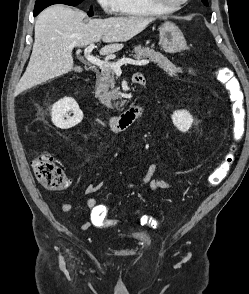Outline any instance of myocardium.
I'll return each instance as SVG.
<instances>
[{
    "mask_svg": "<svg viewBox=\"0 0 249 294\" xmlns=\"http://www.w3.org/2000/svg\"><path fill=\"white\" fill-rule=\"evenodd\" d=\"M189 1L190 0H184L180 4H177L175 6H169V5L164 4L161 0H148V2L153 7L157 8L158 10L163 12V14L176 12V11L180 10L181 8H183L185 5H187V3Z\"/></svg>",
    "mask_w": 249,
    "mask_h": 294,
    "instance_id": "myocardium-1",
    "label": "myocardium"
}]
</instances>
